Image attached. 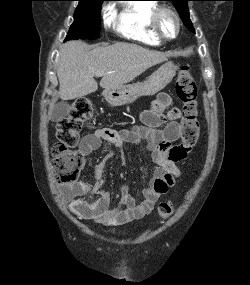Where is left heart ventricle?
I'll return each instance as SVG.
<instances>
[{
	"mask_svg": "<svg viewBox=\"0 0 250 285\" xmlns=\"http://www.w3.org/2000/svg\"><path fill=\"white\" fill-rule=\"evenodd\" d=\"M160 28L164 35L173 36L177 30L175 19L169 14H164L160 21Z\"/></svg>",
	"mask_w": 250,
	"mask_h": 285,
	"instance_id": "obj_1",
	"label": "left heart ventricle"
}]
</instances>
